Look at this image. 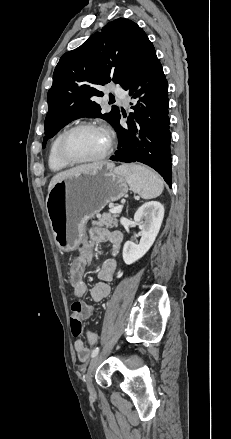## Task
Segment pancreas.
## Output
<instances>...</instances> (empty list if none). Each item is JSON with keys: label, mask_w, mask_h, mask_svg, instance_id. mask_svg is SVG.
Here are the masks:
<instances>
[{"label": "pancreas", "mask_w": 231, "mask_h": 439, "mask_svg": "<svg viewBox=\"0 0 231 439\" xmlns=\"http://www.w3.org/2000/svg\"><path fill=\"white\" fill-rule=\"evenodd\" d=\"M119 214L105 213L98 220L92 221L93 226H106L107 228L118 227Z\"/></svg>", "instance_id": "pancreas-1"}]
</instances>
